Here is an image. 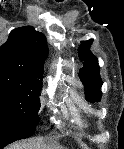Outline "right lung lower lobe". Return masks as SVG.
<instances>
[{"label":"right lung lower lobe","mask_w":124,"mask_h":149,"mask_svg":"<svg viewBox=\"0 0 124 149\" xmlns=\"http://www.w3.org/2000/svg\"><path fill=\"white\" fill-rule=\"evenodd\" d=\"M35 129H31V130H27V131H22V132H0V149H3L6 145L20 140V139H24L27 138L29 136H31L34 132Z\"/></svg>","instance_id":"right-lung-lower-lobe-1"}]
</instances>
